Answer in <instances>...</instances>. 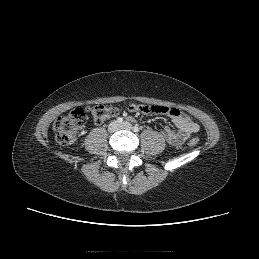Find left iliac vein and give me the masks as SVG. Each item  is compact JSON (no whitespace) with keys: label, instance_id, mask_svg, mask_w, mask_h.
Instances as JSON below:
<instances>
[{"label":"left iliac vein","instance_id":"obj_1","mask_svg":"<svg viewBox=\"0 0 259 259\" xmlns=\"http://www.w3.org/2000/svg\"><path fill=\"white\" fill-rule=\"evenodd\" d=\"M119 127L121 129L133 130V127L129 122H123Z\"/></svg>","mask_w":259,"mask_h":259}]
</instances>
